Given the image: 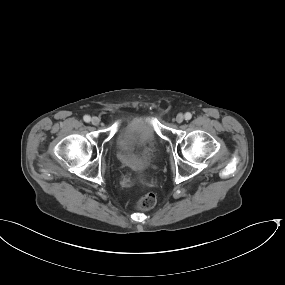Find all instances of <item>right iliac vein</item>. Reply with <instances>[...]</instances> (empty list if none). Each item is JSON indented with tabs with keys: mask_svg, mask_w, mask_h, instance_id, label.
<instances>
[{
	"mask_svg": "<svg viewBox=\"0 0 285 285\" xmlns=\"http://www.w3.org/2000/svg\"><path fill=\"white\" fill-rule=\"evenodd\" d=\"M91 123H92L94 126H98V125L100 124V119H99L98 117H92Z\"/></svg>",
	"mask_w": 285,
	"mask_h": 285,
	"instance_id": "obj_1",
	"label": "right iliac vein"
}]
</instances>
